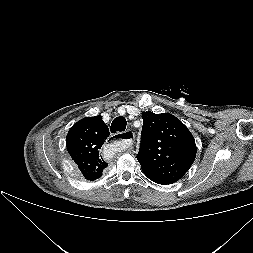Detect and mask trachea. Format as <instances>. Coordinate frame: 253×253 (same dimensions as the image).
<instances>
[{
    "label": "trachea",
    "instance_id": "1",
    "mask_svg": "<svg viewBox=\"0 0 253 253\" xmlns=\"http://www.w3.org/2000/svg\"><path fill=\"white\" fill-rule=\"evenodd\" d=\"M127 121L124 117H116L110 127L112 133H116L117 131L123 132L126 129ZM122 135H118L116 137L122 138Z\"/></svg>",
    "mask_w": 253,
    "mask_h": 253
}]
</instances>
